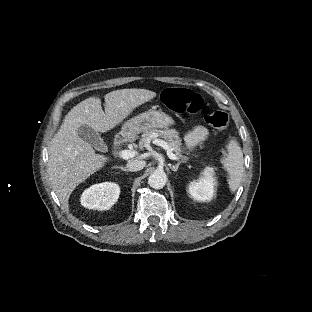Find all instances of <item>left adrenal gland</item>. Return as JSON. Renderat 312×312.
<instances>
[{
  "mask_svg": "<svg viewBox=\"0 0 312 312\" xmlns=\"http://www.w3.org/2000/svg\"><path fill=\"white\" fill-rule=\"evenodd\" d=\"M183 161V159L181 161H179L176 165H171L169 164V167L172 171L176 172L178 170V167L180 165V163Z\"/></svg>",
  "mask_w": 312,
  "mask_h": 312,
  "instance_id": "a2214340",
  "label": "left adrenal gland"
}]
</instances>
